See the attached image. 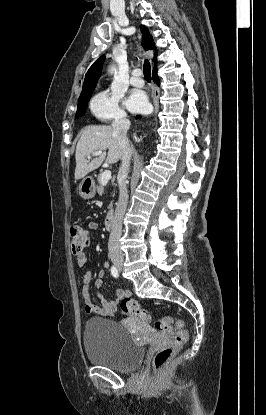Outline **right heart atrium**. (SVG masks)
I'll return each mask as SVG.
<instances>
[{
    "mask_svg": "<svg viewBox=\"0 0 266 415\" xmlns=\"http://www.w3.org/2000/svg\"><path fill=\"white\" fill-rule=\"evenodd\" d=\"M91 113L101 121L122 119L126 116L120 105V96L110 90L96 94L89 104Z\"/></svg>",
    "mask_w": 266,
    "mask_h": 415,
    "instance_id": "obj_1",
    "label": "right heart atrium"
}]
</instances>
